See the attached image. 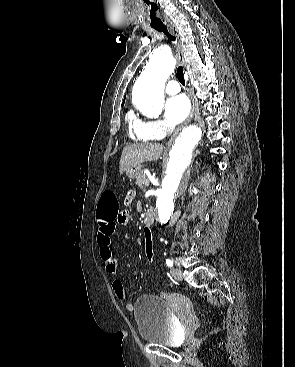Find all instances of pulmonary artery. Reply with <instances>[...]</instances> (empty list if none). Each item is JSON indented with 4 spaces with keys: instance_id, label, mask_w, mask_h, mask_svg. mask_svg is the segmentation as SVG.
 Wrapping results in <instances>:
<instances>
[{
    "instance_id": "obj_1",
    "label": "pulmonary artery",
    "mask_w": 295,
    "mask_h": 367,
    "mask_svg": "<svg viewBox=\"0 0 295 367\" xmlns=\"http://www.w3.org/2000/svg\"><path fill=\"white\" fill-rule=\"evenodd\" d=\"M165 91L169 95L177 94L180 91V85L176 80H170L166 84Z\"/></svg>"
}]
</instances>
